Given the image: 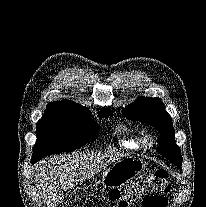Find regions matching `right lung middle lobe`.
Instances as JSON below:
<instances>
[{
    "mask_svg": "<svg viewBox=\"0 0 206 207\" xmlns=\"http://www.w3.org/2000/svg\"><path fill=\"white\" fill-rule=\"evenodd\" d=\"M112 114L103 109L101 117ZM90 112L47 107L36 128L37 141L32 158H42L52 153L71 152L93 142L99 134V126Z\"/></svg>",
    "mask_w": 206,
    "mask_h": 207,
    "instance_id": "right-lung-middle-lobe-1",
    "label": "right lung middle lobe"
}]
</instances>
